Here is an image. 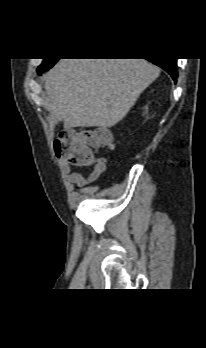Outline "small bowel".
I'll return each mask as SVG.
<instances>
[{
  "label": "small bowel",
  "instance_id": "small-bowel-1",
  "mask_svg": "<svg viewBox=\"0 0 206 348\" xmlns=\"http://www.w3.org/2000/svg\"><path fill=\"white\" fill-rule=\"evenodd\" d=\"M61 166L65 171L68 180L78 187H83L95 182L106 170V163L104 160L95 161L94 163L89 164V166H92V171L87 176L73 171L66 161H61Z\"/></svg>",
  "mask_w": 206,
  "mask_h": 348
}]
</instances>
